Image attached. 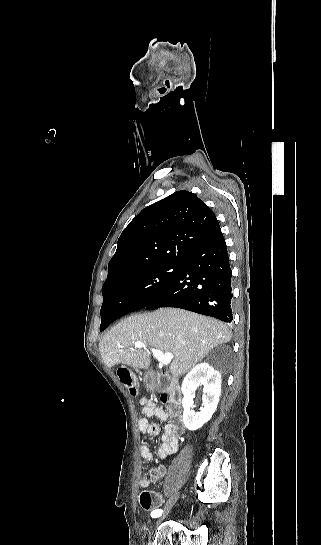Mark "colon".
<instances>
[{
  "mask_svg": "<svg viewBox=\"0 0 321 545\" xmlns=\"http://www.w3.org/2000/svg\"><path fill=\"white\" fill-rule=\"evenodd\" d=\"M117 375L127 391L131 395L136 396L138 385L134 374L127 368H120L117 371ZM139 501L141 507L147 511L155 510L163 503L162 498L150 490H143L139 495Z\"/></svg>",
  "mask_w": 321,
  "mask_h": 545,
  "instance_id": "obj_1",
  "label": "colon"
}]
</instances>
